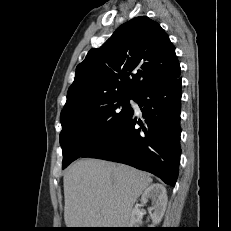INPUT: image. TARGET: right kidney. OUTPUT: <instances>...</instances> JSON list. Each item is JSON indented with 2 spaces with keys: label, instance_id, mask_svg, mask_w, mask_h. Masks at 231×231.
Segmentation results:
<instances>
[{
  "label": "right kidney",
  "instance_id": "obj_1",
  "mask_svg": "<svg viewBox=\"0 0 231 231\" xmlns=\"http://www.w3.org/2000/svg\"><path fill=\"white\" fill-rule=\"evenodd\" d=\"M152 201V207L149 209V215L153 226L159 224L164 216L167 207V193L166 188L162 184H152L149 186L141 196L143 204L148 200ZM143 211L137 206L133 209L130 218V228H138L142 222Z\"/></svg>",
  "mask_w": 231,
  "mask_h": 231
}]
</instances>
